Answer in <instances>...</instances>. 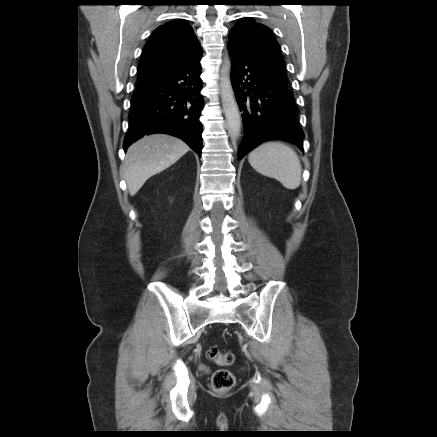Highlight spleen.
Instances as JSON below:
<instances>
[{
    "label": "spleen",
    "instance_id": "obj_1",
    "mask_svg": "<svg viewBox=\"0 0 437 437\" xmlns=\"http://www.w3.org/2000/svg\"><path fill=\"white\" fill-rule=\"evenodd\" d=\"M250 165L262 175L278 180L285 188L294 190L301 183V162L296 152L281 142H266L248 156Z\"/></svg>",
    "mask_w": 437,
    "mask_h": 437
}]
</instances>
